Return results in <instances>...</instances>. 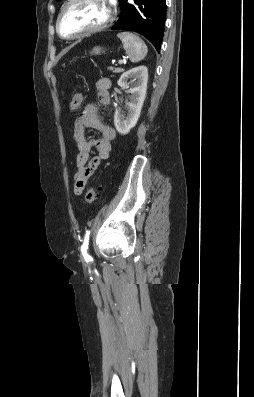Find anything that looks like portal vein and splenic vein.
<instances>
[{
    "label": "portal vein and splenic vein",
    "mask_w": 254,
    "mask_h": 397,
    "mask_svg": "<svg viewBox=\"0 0 254 397\" xmlns=\"http://www.w3.org/2000/svg\"><path fill=\"white\" fill-rule=\"evenodd\" d=\"M118 63H119V64H122V63H123V61H122V60H119V61H118Z\"/></svg>",
    "instance_id": "portal-vein-and-splenic-vein-1"
}]
</instances>
